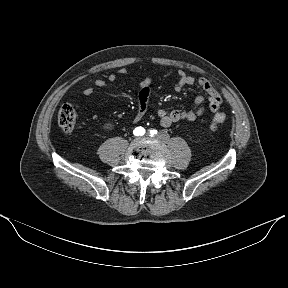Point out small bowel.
<instances>
[{
    "label": "small bowel",
    "mask_w": 288,
    "mask_h": 288,
    "mask_svg": "<svg viewBox=\"0 0 288 288\" xmlns=\"http://www.w3.org/2000/svg\"><path fill=\"white\" fill-rule=\"evenodd\" d=\"M118 75L127 76V71L125 69H120L116 73H111L108 76V82L112 83L117 80ZM178 80L175 84V90L181 91L184 87L190 85H198L207 94V106L204 105L205 98L203 96H198L195 100V107L193 109L187 110H173L167 111L165 109H159L157 112L160 124L164 127L171 126L179 121H195L201 118L206 109L208 108L211 112H217L221 103L222 97L219 91L213 86V84L206 78H196L195 76L185 72L184 70H179ZM108 82L104 79L98 78L95 80L94 84L96 87L104 88L107 86ZM150 82L151 77L146 76L142 81L139 82V94H138V106L137 111L133 117L132 122H139L146 114L147 102L150 94ZM84 95L86 98L96 106H100L94 98V89L89 87L84 90Z\"/></svg>",
    "instance_id": "c3829d8e"
}]
</instances>
